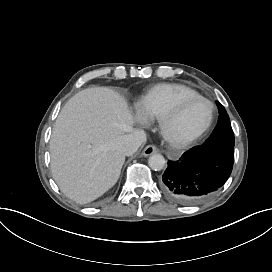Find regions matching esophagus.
<instances>
[{
  "label": "esophagus",
  "mask_w": 272,
  "mask_h": 272,
  "mask_svg": "<svg viewBox=\"0 0 272 272\" xmlns=\"http://www.w3.org/2000/svg\"><path fill=\"white\" fill-rule=\"evenodd\" d=\"M158 151V149L156 148V146L154 145H148L144 148L142 155L143 156H149L152 155L154 153H156Z\"/></svg>",
  "instance_id": "34e87169"
}]
</instances>
